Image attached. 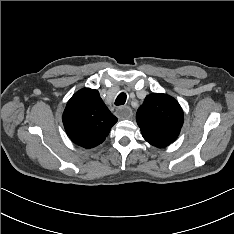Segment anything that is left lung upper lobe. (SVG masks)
Here are the masks:
<instances>
[{"mask_svg": "<svg viewBox=\"0 0 234 234\" xmlns=\"http://www.w3.org/2000/svg\"><path fill=\"white\" fill-rule=\"evenodd\" d=\"M136 120L143 138L153 146L172 143L179 136L184 122L181 106L173 97L163 93L146 96L138 108Z\"/></svg>", "mask_w": 234, "mask_h": 234, "instance_id": "left-lung-upper-lobe-1", "label": "left lung upper lobe"}]
</instances>
